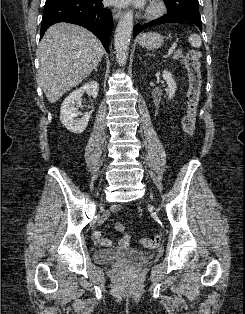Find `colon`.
I'll use <instances>...</instances> for the list:
<instances>
[{"label":"colon","instance_id":"5ec220e1","mask_svg":"<svg viewBox=\"0 0 245 314\" xmlns=\"http://www.w3.org/2000/svg\"><path fill=\"white\" fill-rule=\"evenodd\" d=\"M185 68L189 77V89L187 92V112L182 120V126L188 135L193 136L202 86L200 53L197 50H190L187 53L185 57ZM140 243L147 248H156L160 245V239L155 236L144 237L140 240Z\"/></svg>","mask_w":245,"mask_h":314}]
</instances>
